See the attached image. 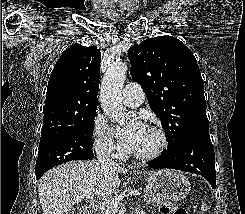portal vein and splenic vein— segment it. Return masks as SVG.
Returning a JSON list of instances; mask_svg holds the SVG:
<instances>
[{"label": "portal vein and splenic vein", "mask_w": 245, "mask_h": 214, "mask_svg": "<svg viewBox=\"0 0 245 214\" xmlns=\"http://www.w3.org/2000/svg\"><path fill=\"white\" fill-rule=\"evenodd\" d=\"M142 193L141 192H139V191H131V192H129L128 193V196L129 195H135V196H139V195H141ZM127 195H125V194H122V195H120V196H118V197H116V198H105V199H103V203H102V205H107V206H110L112 209H113V211H116L117 210V208H118V204H119V202L120 201H122V199L124 198V197H126ZM93 197H94V194L93 193H90V194H88L87 196H86V198L87 199H93Z\"/></svg>", "instance_id": "portal-vein-and-splenic-vein-1"}]
</instances>
